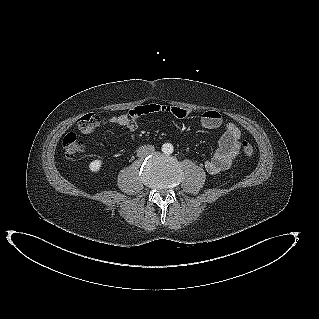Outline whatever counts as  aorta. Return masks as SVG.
Returning <instances> with one entry per match:
<instances>
[{
	"label": "aorta",
	"mask_w": 319,
	"mask_h": 319,
	"mask_svg": "<svg viewBox=\"0 0 319 319\" xmlns=\"http://www.w3.org/2000/svg\"><path fill=\"white\" fill-rule=\"evenodd\" d=\"M174 151V147L171 143H165L162 145V152L164 154H172Z\"/></svg>",
	"instance_id": "762f6f07"
}]
</instances>
